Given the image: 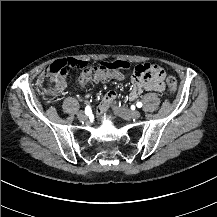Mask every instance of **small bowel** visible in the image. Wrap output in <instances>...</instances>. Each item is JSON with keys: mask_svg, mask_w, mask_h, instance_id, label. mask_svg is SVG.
<instances>
[{"mask_svg": "<svg viewBox=\"0 0 217 217\" xmlns=\"http://www.w3.org/2000/svg\"><path fill=\"white\" fill-rule=\"evenodd\" d=\"M64 81V87L66 85V80L63 76H60ZM125 75L121 70H104L101 69L99 66L93 68V70L89 74H81L79 77V85L84 86L88 82L94 83H107L111 80H124ZM141 86L138 83H134L133 87L131 88L128 98L129 100L133 101L139 97L141 94ZM118 94L114 90H110L104 94L102 100L99 104V110L104 111L116 100Z\"/></svg>", "mask_w": 217, "mask_h": 217, "instance_id": "obj_1", "label": "small bowel"}]
</instances>
